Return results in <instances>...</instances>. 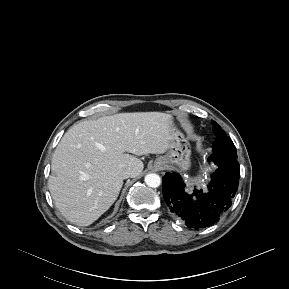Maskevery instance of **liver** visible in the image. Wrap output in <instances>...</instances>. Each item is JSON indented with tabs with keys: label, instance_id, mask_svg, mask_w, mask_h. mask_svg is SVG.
I'll return each mask as SVG.
<instances>
[{
	"label": "liver",
	"instance_id": "obj_1",
	"mask_svg": "<svg viewBox=\"0 0 289 289\" xmlns=\"http://www.w3.org/2000/svg\"><path fill=\"white\" fill-rule=\"evenodd\" d=\"M175 136L172 118L160 112L120 113L73 125L52 157L48 188L56 208L76 225L92 224L117 199L121 171L130 168L137 177L144 164L136 156L165 153Z\"/></svg>",
	"mask_w": 289,
	"mask_h": 289
}]
</instances>
